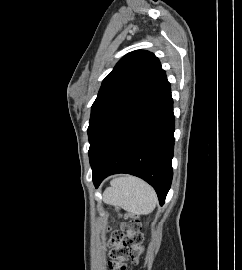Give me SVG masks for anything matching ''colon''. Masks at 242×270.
<instances>
[{
  "mask_svg": "<svg viewBox=\"0 0 242 270\" xmlns=\"http://www.w3.org/2000/svg\"><path fill=\"white\" fill-rule=\"evenodd\" d=\"M143 235L138 221L130 222L122 233L112 232L109 239L110 270H127L126 262L137 260L143 252Z\"/></svg>",
  "mask_w": 242,
  "mask_h": 270,
  "instance_id": "obj_1",
  "label": "colon"
}]
</instances>
